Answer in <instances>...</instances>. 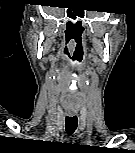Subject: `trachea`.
<instances>
[{
  "instance_id": "1",
  "label": "trachea",
  "mask_w": 135,
  "mask_h": 153,
  "mask_svg": "<svg viewBox=\"0 0 135 153\" xmlns=\"http://www.w3.org/2000/svg\"><path fill=\"white\" fill-rule=\"evenodd\" d=\"M78 119L76 116H67L65 122V128L68 134H73L77 128Z\"/></svg>"
}]
</instances>
